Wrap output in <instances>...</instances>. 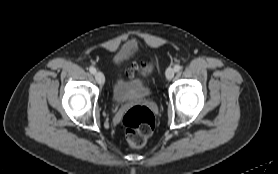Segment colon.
I'll use <instances>...</instances> for the list:
<instances>
[{
  "mask_svg": "<svg viewBox=\"0 0 278 174\" xmlns=\"http://www.w3.org/2000/svg\"><path fill=\"white\" fill-rule=\"evenodd\" d=\"M141 75H146L152 69L151 65L135 68ZM126 131L127 142L133 148L143 146L155 127V118L151 110L145 106H134L124 115L122 120Z\"/></svg>",
  "mask_w": 278,
  "mask_h": 174,
  "instance_id": "colon-1",
  "label": "colon"
}]
</instances>
